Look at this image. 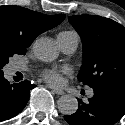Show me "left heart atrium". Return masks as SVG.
<instances>
[{
  "mask_svg": "<svg viewBox=\"0 0 125 125\" xmlns=\"http://www.w3.org/2000/svg\"><path fill=\"white\" fill-rule=\"evenodd\" d=\"M66 67H50L41 72L42 79L52 86H59L63 82V74L67 73Z\"/></svg>",
  "mask_w": 125,
  "mask_h": 125,
  "instance_id": "left-heart-atrium-1",
  "label": "left heart atrium"
}]
</instances>
